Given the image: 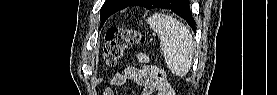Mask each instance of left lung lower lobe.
Returning a JSON list of instances; mask_svg holds the SVG:
<instances>
[{"label":"left lung lower lobe","instance_id":"left-lung-lower-lobe-1","mask_svg":"<svg viewBox=\"0 0 277 95\" xmlns=\"http://www.w3.org/2000/svg\"><path fill=\"white\" fill-rule=\"evenodd\" d=\"M149 2V0H133L129 6H142L149 9ZM157 8L172 10L184 18L188 22L189 26L195 30V21L191 16L188 0H182L179 5H176V0H164L163 3Z\"/></svg>","mask_w":277,"mask_h":95}]
</instances>
